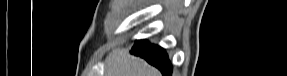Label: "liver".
Returning a JSON list of instances; mask_svg holds the SVG:
<instances>
[{"mask_svg":"<svg viewBox=\"0 0 287 76\" xmlns=\"http://www.w3.org/2000/svg\"><path fill=\"white\" fill-rule=\"evenodd\" d=\"M105 76H161L160 72L126 48L113 50L106 59Z\"/></svg>","mask_w":287,"mask_h":76,"instance_id":"6515ba94","label":"liver"}]
</instances>
